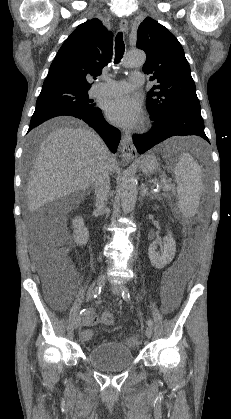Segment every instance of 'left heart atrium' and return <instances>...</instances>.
Here are the masks:
<instances>
[{
  "label": "left heart atrium",
  "mask_w": 231,
  "mask_h": 419,
  "mask_svg": "<svg viewBox=\"0 0 231 419\" xmlns=\"http://www.w3.org/2000/svg\"><path fill=\"white\" fill-rule=\"evenodd\" d=\"M106 116L117 126L133 128L141 121L142 111L135 98L124 96L107 103Z\"/></svg>",
  "instance_id": "1"
}]
</instances>
